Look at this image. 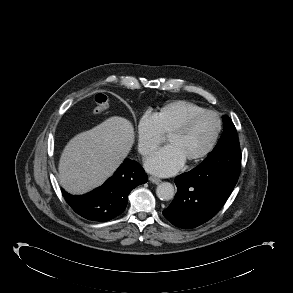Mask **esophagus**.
<instances>
[{
	"mask_svg": "<svg viewBox=\"0 0 293 293\" xmlns=\"http://www.w3.org/2000/svg\"><path fill=\"white\" fill-rule=\"evenodd\" d=\"M149 181L154 183V184H159L161 182V180L159 178L154 177V176H150Z\"/></svg>",
	"mask_w": 293,
	"mask_h": 293,
	"instance_id": "obj_1",
	"label": "esophagus"
}]
</instances>
